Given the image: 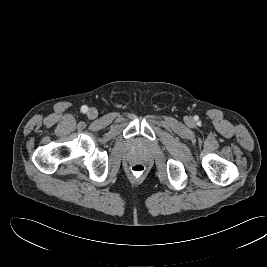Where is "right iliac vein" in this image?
I'll return each mask as SVG.
<instances>
[{
  "mask_svg": "<svg viewBox=\"0 0 267 267\" xmlns=\"http://www.w3.org/2000/svg\"><path fill=\"white\" fill-rule=\"evenodd\" d=\"M87 116L90 119H95L98 116V111L95 108H90L87 112Z\"/></svg>",
  "mask_w": 267,
  "mask_h": 267,
  "instance_id": "right-iliac-vein-1",
  "label": "right iliac vein"
}]
</instances>
